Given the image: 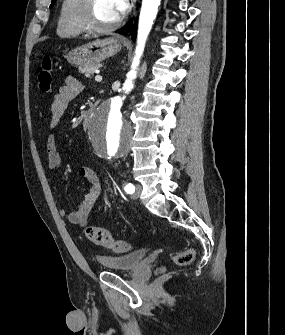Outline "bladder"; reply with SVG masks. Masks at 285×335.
Returning <instances> with one entry per match:
<instances>
[{"instance_id":"31cf9c89","label":"bladder","mask_w":285,"mask_h":335,"mask_svg":"<svg viewBox=\"0 0 285 335\" xmlns=\"http://www.w3.org/2000/svg\"><path fill=\"white\" fill-rule=\"evenodd\" d=\"M147 256L146 249L101 256L97 258V265H114V272H132L144 263Z\"/></svg>"}]
</instances>
